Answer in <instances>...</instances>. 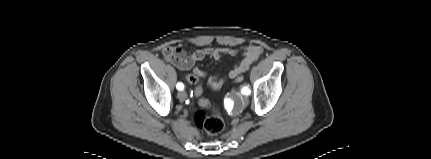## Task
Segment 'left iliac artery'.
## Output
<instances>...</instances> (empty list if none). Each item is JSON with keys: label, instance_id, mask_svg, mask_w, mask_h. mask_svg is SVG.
I'll return each mask as SVG.
<instances>
[{"label": "left iliac artery", "instance_id": "1", "mask_svg": "<svg viewBox=\"0 0 431 159\" xmlns=\"http://www.w3.org/2000/svg\"><path fill=\"white\" fill-rule=\"evenodd\" d=\"M241 92L244 95H249L250 94V89L248 87H244V88H242Z\"/></svg>", "mask_w": 431, "mask_h": 159}]
</instances>
